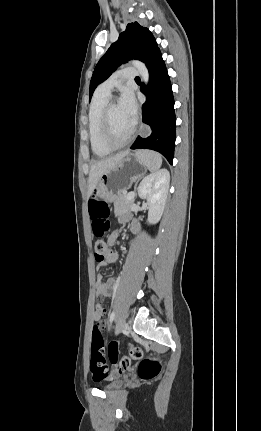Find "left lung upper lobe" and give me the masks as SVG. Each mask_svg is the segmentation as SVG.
Segmentation results:
<instances>
[{
    "label": "left lung upper lobe",
    "mask_w": 261,
    "mask_h": 431,
    "mask_svg": "<svg viewBox=\"0 0 261 431\" xmlns=\"http://www.w3.org/2000/svg\"><path fill=\"white\" fill-rule=\"evenodd\" d=\"M158 49L156 40L147 28L140 26L137 22L129 23L118 40L109 47L97 63L90 82V98L95 88L105 81L119 65L133 58L146 64Z\"/></svg>",
    "instance_id": "5c2ea615"
}]
</instances>
